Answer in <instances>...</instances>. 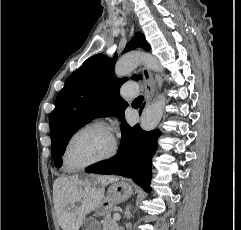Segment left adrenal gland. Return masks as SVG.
I'll return each instance as SVG.
<instances>
[{"mask_svg":"<svg viewBox=\"0 0 241 230\" xmlns=\"http://www.w3.org/2000/svg\"><path fill=\"white\" fill-rule=\"evenodd\" d=\"M129 209H130V206H127L124 213L128 219L131 217V213Z\"/></svg>","mask_w":241,"mask_h":230,"instance_id":"obj_1","label":"left adrenal gland"}]
</instances>
